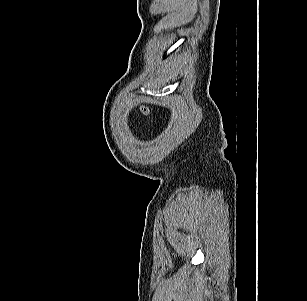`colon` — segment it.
<instances>
[{
	"mask_svg": "<svg viewBox=\"0 0 307 301\" xmlns=\"http://www.w3.org/2000/svg\"><path fill=\"white\" fill-rule=\"evenodd\" d=\"M139 113H140V118H144L148 114L147 109L144 107H141L139 109Z\"/></svg>",
	"mask_w": 307,
	"mask_h": 301,
	"instance_id": "obj_1",
	"label": "colon"
}]
</instances>
